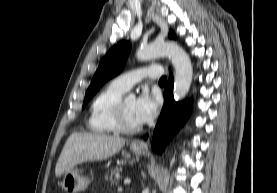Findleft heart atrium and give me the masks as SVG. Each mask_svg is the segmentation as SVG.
<instances>
[{"label": "left heart atrium", "mask_w": 277, "mask_h": 193, "mask_svg": "<svg viewBox=\"0 0 277 193\" xmlns=\"http://www.w3.org/2000/svg\"><path fill=\"white\" fill-rule=\"evenodd\" d=\"M158 109V98L144 90L135 100L134 113L139 123L151 121Z\"/></svg>", "instance_id": "1"}]
</instances>
